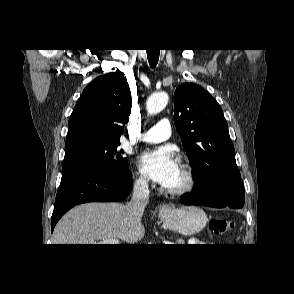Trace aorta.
Wrapping results in <instances>:
<instances>
[{
	"label": "aorta",
	"mask_w": 294,
	"mask_h": 294,
	"mask_svg": "<svg viewBox=\"0 0 294 294\" xmlns=\"http://www.w3.org/2000/svg\"><path fill=\"white\" fill-rule=\"evenodd\" d=\"M168 94L159 92L151 95L146 102V109L148 114L153 115L161 112L168 103Z\"/></svg>",
	"instance_id": "762f6f07"
}]
</instances>
